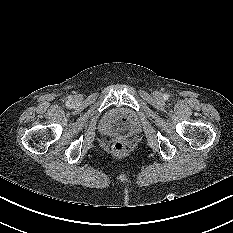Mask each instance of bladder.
<instances>
[{"label":"bladder","instance_id":"bladder-1","mask_svg":"<svg viewBox=\"0 0 233 233\" xmlns=\"http://www.w3.org/2000/svg\"><path fill=\"white\" fill-rule=\"evenodd\" d=\"M99 130L110 137H131L140 130V122L134 111L124 107L105 112L99 122Z\"/></svg>","mask_w":233,"mask_h":233}]
</instances>
